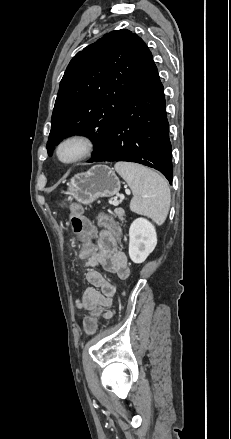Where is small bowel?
<instances>
[{"instance_id":"1","label":"small bowel","mask_w":231,"mask_h":439,"mask_svg":"<svg viewBox=\"0 0 231 439\" xmlns=\"http://www.w3.org/2000/svg\"><path fill=\"white\" fill-rule=\"evenodd\" d=\"M85 250H92L94 254L93 258L85 263V277L89 286L76 299L75 305L79 310L88 311L90 306L99 304L102 307L105 304L108 308L102 317L110 318L113 315L111 306L112 299L117 292V286L96 267L101 266L105 271L117 275L120 279H125L130 273L127 257L119 246L116 234L109 230H102L99 233L96 244H85L80 256L84 254Z\"/></svg>"}]
</instances>
